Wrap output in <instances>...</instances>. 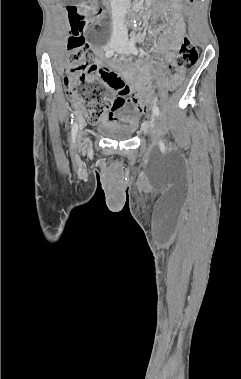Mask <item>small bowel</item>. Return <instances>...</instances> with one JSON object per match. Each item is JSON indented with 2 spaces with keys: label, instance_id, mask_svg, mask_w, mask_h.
I'll return each instance as SVG.
<instances>
[{
  "label": "small bowel",
  "instance_id": "c3829d8e",
  "mask_svg": "<svg viewBox=\"0 0 241 379\" xmlns=\"http://www.w3.org/2000/svg\"><path fill=\"white\" fill-rule=\"evenodd\" d=\"M181 3L182 0L166 1V6L170 8L172 13L171 24L164 31V36L159 41V48L163 53L164 60L169 64L175 62V52L179 48L185 32L184 21L180 13ZM112 73L123 82L128 90L129 87L132 88L133 92L121 95L117 90L105 83L108 87L115 90L118 95L114 98L115 103L113 108L104 118L134 128L138 124L140 115H146V108L150 107V102L143 101L141 97L142 93H146L151 88L150 66L143 65L128 68L123 74V78L127 84L115 72ZM129 105H132V107H129Z\"/></svg>",
  "mask_w": 241,
  "mask_h": 379
}]
</instances>
